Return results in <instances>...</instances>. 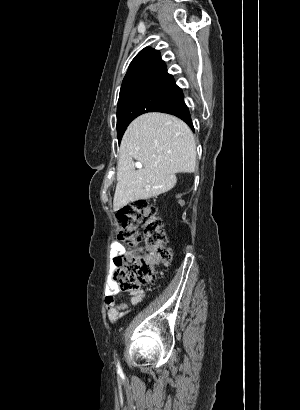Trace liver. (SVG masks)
Segmentation results:
<instances>
[{"label": "liver", "instance_id": "1", "mask_svg": "<svg viewBox=\"0 0 300 410\" xmlns=\"http://www.w3.org/2000/svg\"><path fill=\"white\" fill-rule=\"evenodd\" d=\"M134 159L142 169H135ZM195 167L196 144L186 123L158 112L137 117L120 145L114 211L168 192L177 182L176 173H192Z\"/></svg>", "mask_w": 300, "mask_h": 410}]
</instances>
